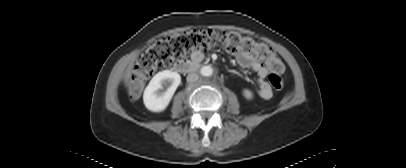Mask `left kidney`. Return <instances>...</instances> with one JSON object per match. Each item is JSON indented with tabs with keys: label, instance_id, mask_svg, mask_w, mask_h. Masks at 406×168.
I'll list each match as a JSON object with an SVG mask.
<instances>
[{
	"label": "left kidney",
	"instance_id": "1",
	"mask_svg": "<svg viewBox=\"0 0 406 168\" xmlns=\"http://www.w3.org/2000/svg\"><path fill=\"white\" fill-rule=\"evenodd\" d=\"M243 95L249 100L253 98V93L248 89L243 90Z\"/></svg>",
	"mask_w": 406,
	"mask_h": 168
}]
</instances>
